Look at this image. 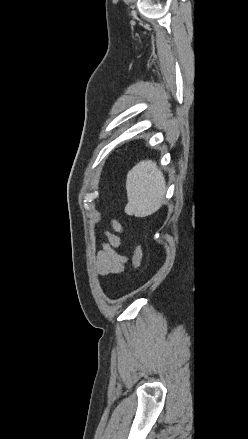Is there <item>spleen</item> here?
<instances>
[{"instance_id": "spleen-1", "label": "spleen", "mask_w": 248, "mask_h": 439, "mask_svg": "<svg viewBox=\"0 0 248 439\" xmlns=\"http://www.w3.org/2000/svg\"><path fill=\"white\" fill-rule=\"evenodd\" d=\"M126 211L137 217L155 213L164 202L166 182L163 173L152 160L137 163L127 174Z\"/></svg>"}]
</instances>
